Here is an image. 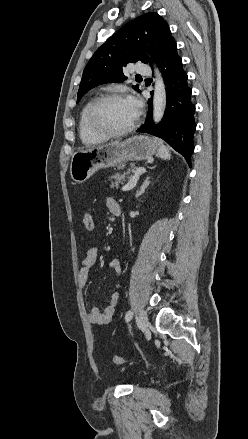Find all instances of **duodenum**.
<instances>
[{"mask_svg":"<svg viewBox=\"0 0 248 439\" xmlns=\"http://www.w3.org/2000/svg\"><path fill=\"white\" fill-rule=\"evenodd\" d=\"M114 215L115 216H120L121 215V207H117V209L114 211Z\"/></svg>","mask_w":248,"mask_h":439,"instance_id":"duodenum-1","label":"duodenum"}]
</instances>
